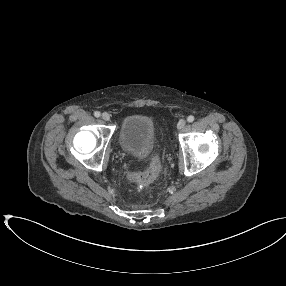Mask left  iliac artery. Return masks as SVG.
<instances>
[{
    "instance_id": "left-iliac-artery-1",
    "label": "left iliac artery",
    "mask_w": 286,
    "mask_h": 286,
    "mask_svg": "<svg viewBox=\"0 0 286 286\" xmlns=\"http://www.w3.org/2000/svg\"><path fill=\"white\" fill-rule=\"evenodd\" d=\"M194 119H195L194 116L190 115V116H188L187 121L188 122H193Z\"/></svg>"
}]
</instances>
